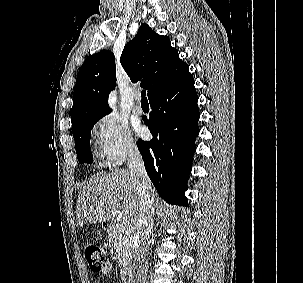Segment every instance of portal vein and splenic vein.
<instances>
[{
	"label": "portal vein and splenic vein",
	"mask_w": 303,
	"mask_h": 283,
	"mask_svg": "<svg viewBox=\"0 0 303 283\" xmlns=\"http://www.w3.org/2000/svg\"><path fill=\"white\" fill-rule=\"evenodd\" d=\"M122 224L124 225V226H128L129 225V223L128 222H122ZM129 228H130V226H129Z\"/></svg>",
	"instance_id": "1"
}]
</instances>
